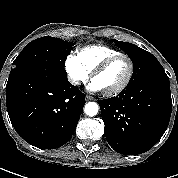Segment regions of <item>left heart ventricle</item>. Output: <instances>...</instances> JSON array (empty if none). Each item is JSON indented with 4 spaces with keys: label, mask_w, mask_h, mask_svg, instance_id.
<instances>
[{
    "label": "left heart ventricle",
    "mask_w": 178,
    "mask_h": 178,
    "mask_svg": "<svg viewBox=\"0 0 178 178\" xmlns=\"http://www.w3.org/2000/svg\"><path fill=\"white\" fill-rule=\"evenodd\" d=\"M128 74V62L122 58L110 65L104 72L99 74L94 82L102 91H109L124 82Z\"/></svg>",
    "instance_id": "1"
}]
</instances>
